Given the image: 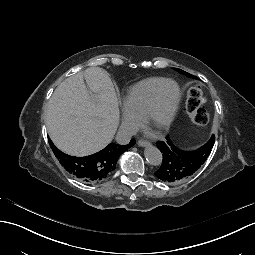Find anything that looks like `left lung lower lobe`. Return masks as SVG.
I'll return each instance as SVG.
<instances>
[{
	"mask_svg": "<svg viewBox=\"0 0 255 255\" xmlns=\"http://www.w3.org/2000/svg\"><path fill=\"white\" fill-rule=\"evenodd\" d=\"M206 146L207 148L203 149L204 144L198 147L197 144H194V150L186 154L183 149L175 144L172 137L162 140L159 144V151L165 159L158 170V177L163 181V185L166 182H176L192 177L195 171L212 157V150L216 148L217 143L210 139Z\"/></svg>",
	"mask_w": 255,
	"mask_h": 255,
	"instance_id": "left-lung-lower-lobe-1",
	"label": "left lung lower lobe"
}]
</instances>
